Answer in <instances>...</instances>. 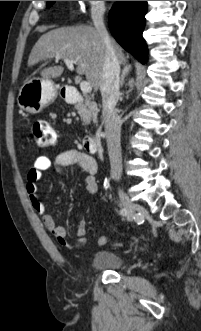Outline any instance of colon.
<instances>
[{
	"mask_svg": "<svg viewBox=\"0 0 201 331\" xmlns=\"http://www.w3.org/2000/svg\"><path fill=\"white\" fill-rule=\"evenodd\" d=\"M31 133L35 143L40 147L50 146L55 142V131L50 123L44 119L34 121Z\"/></svg>",
	"mask_w": 201,
	"mask_h": 331,
	"instance_id": "colon-1",
	"label": "colon"
}]
</instances>
